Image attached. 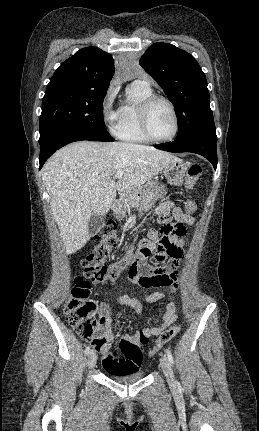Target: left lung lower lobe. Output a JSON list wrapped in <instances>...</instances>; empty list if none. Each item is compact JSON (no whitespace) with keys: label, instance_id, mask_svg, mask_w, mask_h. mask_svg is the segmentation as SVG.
<instances>
[{"label":"left lung lower lobe","instance_id":"1","mask_svg":"<svg viewBox=\"0 0 259 431\" xmlns=\"http://www.w3.org/2000/svg\"><path fill=\"white\" fill-rule=\"evenodd\" d=\"M217 137L195 135L192 137L175 140L165 144L155 145L156 148L170 152H192L207 158L217 168Z\"/></svg>","mask_w":259,"mask_h":431}]
</instances>
